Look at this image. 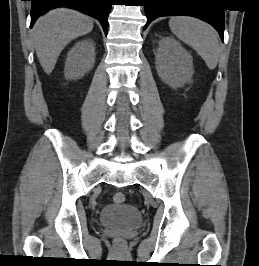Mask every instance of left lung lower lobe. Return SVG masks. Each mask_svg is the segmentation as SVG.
<instances>
[{
	"instance_id": "left-lung-lower-lobe-1",
	"label": "left lung lower lobe",
	"mask_w": 259,
	"mask_h": 266,
	"mask_svg": "<svg viewBox=\"0 0 259 266\" xmlns=\"http://www.w3.org/2000/svg\"><path fill=\"white\" fill-rule=\"evenodd\" d=\"M203 0H144L147 23L160 16L189 15L197 17L211 24L223 39L224 10L211 8L201 4Z\"/></svg>"
}]
</instances>
